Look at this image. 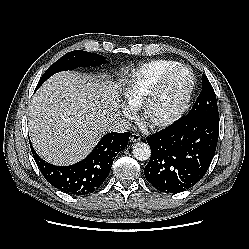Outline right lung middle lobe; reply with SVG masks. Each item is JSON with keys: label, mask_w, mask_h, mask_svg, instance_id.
<instances>
[{"label": "right lung middle lobe", "mask_w": 249, "mask_h": 249, "mask_svg": "<svg viewBox=\"0 0 249 249\" xmlns=\"http://www.w3.org/2000/svg\"><path fill=\"white\" fill-rule=\"evenodd\" d=\"M105 62V57L99 54L81 50L68 52L46 70L39 80L37 88L57 72L73 70L78 67L98 66L104 64Z\"/></svg>", "instance_id": "dd1d6c3e"}]
</instances>
